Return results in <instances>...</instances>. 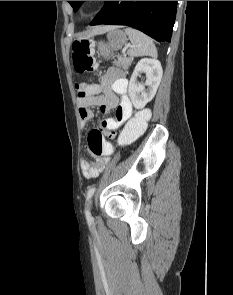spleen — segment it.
Instances as JSON below:
<instances>
[{
	"instance_id": "obj_1",
	"label": "spleen",
	"mask_w": 233,
	"mask_h": 295,
	"mask_svg": "<svg viewBox=\"0 0 233 295\" xmlns=\"http://www.w3.org/2000/svg\"><path fill=\"white\" fill-rule=\"evenodd\" d=\"M125 33L128 35L133 47L128 51L130 56H152L157 57V50L153 40L134 28L127 27Z\"/></svg>"
}]
</instances>
